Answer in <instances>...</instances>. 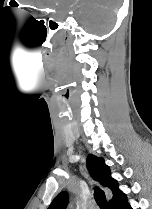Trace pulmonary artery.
Segmentation results:
<instances>
[{
  "label": "pulmonary artery",
  "instance_id": "1",
  "mask_svg": "<svg viewBox=\"0 0 152 209\" xmlns=\"http://www.w3.org/2000/svg\"><path fill=\"white\" fill-rule=\"evenodd\" d=\"M89 209H97L96 205H91Z\"/></svg>",
  "mask_w": 152,
  "mask_h": 209
}]
</instances>
